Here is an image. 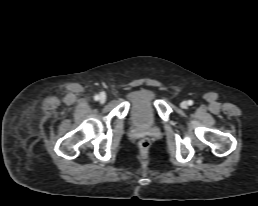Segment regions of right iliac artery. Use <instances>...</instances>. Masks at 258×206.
<instances>
[{
	"instance_id": "82829eb1",
	"label": "right iliac artery",
	"mask_w": 258,
	"mask_h": 206,
	"mask_svg": "<svg viewBox=\"0 0 258 206\" xmlns=\"http://www.w3.org/2000/svg\"><path fill=\"white\" fill-rule=\"evenodd\" d=\"M94 100H96V101L99 100V96H98V95H95V96H94Z\"/></svg>"
}]
</instances>
